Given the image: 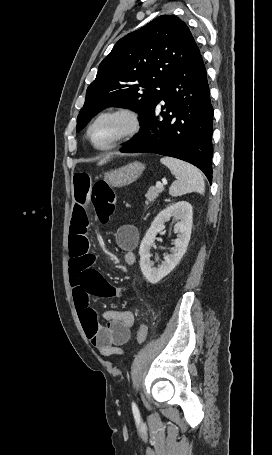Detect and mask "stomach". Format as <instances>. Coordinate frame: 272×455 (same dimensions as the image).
Listing matches in <instances>:
<instances>
[{
	"mask_svg": "<svg viewBox=\"0 0 272 455\" xmlns=\"http://www.w3.org/2000/svg\"><path fill=\"white\" fill-rule=\"evenodd\" d=\"M145 170V165L135 161L104 175V181L112 187H122L136 181Z\"/></svg>",
	"mask_w": 272,
	"mask_h": 455,
	"instance_id": "obj_1",
	"label": "stomach"
}]
</instances>
